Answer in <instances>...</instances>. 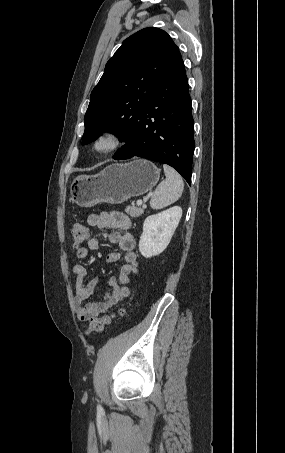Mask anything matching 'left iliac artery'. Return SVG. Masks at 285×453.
<instances>
[{
	"label": "left iliac artery",
	"instance_id": "left-iliac-artery-1",
	"mask_svg": "<svg viewBox=\"0 0 285 453\" xmlns=\"http://www.w3.org/2000/svg\"><path fill=\"white\" fill-rule=\"evenodd\" d=\"M98 409H101V406H100V405H98Z\"/></svg>",
	"mask_w": 285,
	"mask_h": 453
}]
</instances>
